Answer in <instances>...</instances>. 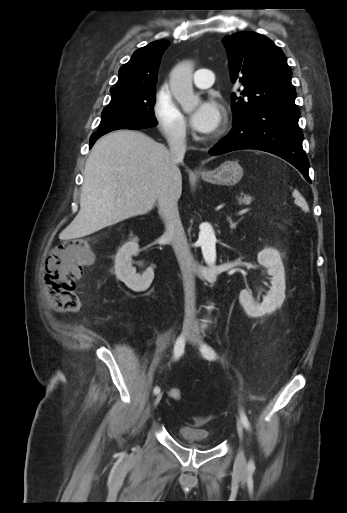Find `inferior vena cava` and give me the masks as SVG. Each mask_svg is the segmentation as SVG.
Masks as SVG:
<instances>
[{
  "mask_svg": "<svg viewBox=\"0 0 347 513\" xmlns=\"http://www.w3.org/2000/svg\"><path fill=\"white\" fill-rule=\"evenodd\" d=\"M168 144L171 161L176 166L182 162L186 152V135L184 131L174 132L168 136ZM179 196L173 184H166L162 187L157 201L159 214L168 228V235L172 247L180 264L183 286L185 293V314L195 317V262L191 255L187 239L181 224L178 211Z\"/></svg>",
  "mask_w": 347,
  "mask_h": 513,
  "instance_id": "obj_1",
  "label": "inferior vena cava"
}]
</instances>
